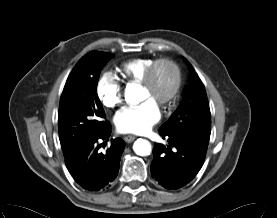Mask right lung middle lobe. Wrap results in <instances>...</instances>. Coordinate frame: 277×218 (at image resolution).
Segmentation results:
<instances>
[{
	"label": "right lung middle lobe",
	"mask_w": 277,
	"mask_h": 218,
	"mask_svg": "<svg viewBox=\"0 0 277 218\" xmlns=\"http://www.w3.org/2000/svg\"><path fill=\"white\" fill-rule=\"evenodd\" d=\"M113 57L91 51L75 65L64 86L59 106V138L66 156L103 133L110 125L97 95L103 66Z\"/></svg>",
	"instance_id": "1"
}]
</instances>
